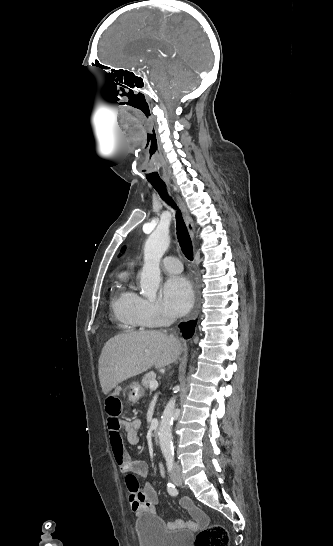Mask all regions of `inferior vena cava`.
I'll return each instance as SVG.
<instances>
[{"mask_svg":"<svg viewBox=\"0 0 333 546\" xmlns=\"http://www.w3.org/2000/svg\"><path fill=\"white\" fill-rule=\"evenodd\" d=\"M172 323H173L172 319H170V318L165 319V322H164L165 326L169 327ZM175 465H177V464H175Z\"/></svg>","mask_w":333,"mask_h":546,"instance_id":"obj_1","label":"inferior vena cava"}]
</instances>
